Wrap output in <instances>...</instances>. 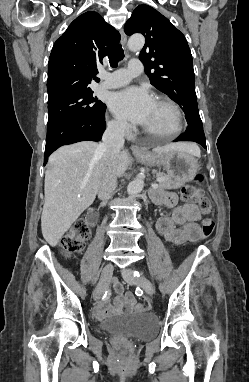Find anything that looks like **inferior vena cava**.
I'll list each match as a JSON object with an SVG mask.
<instances>
[{"label": "inferior vena cava", "instance_id": "1", "mask_svg": "<svg viewBox=\"0 0 249 382\" xmlns=\"http://www.w3.org/2000/svg\"><path fill=\"white\" fill-rule=\"evenodd\" d=\"M126 123L115 122L108 124L99 146L104 153V167L98 186V198L107 202L117 187L118 169L117 157L124 146V134Z\"/></svg>", "mask_w": 249, "mask_h": 382}]
</instances>
